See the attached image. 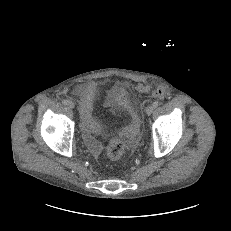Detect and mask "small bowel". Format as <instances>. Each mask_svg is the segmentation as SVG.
<instances>
[{
  "label": "small bowel",
  "instance_id": "small-bowel-1",
  "mask_svg": "<svg viewBox=\"0 0 231 231\" xmlns=\"http://www.w3.org/2000/svg\"><path fill=\"white\" fill-rule=\"evenodd\" d=\"M97 91V85L94 82L87 84L77 85L72 93L82 101V127H83V136L90 147V149L97 153L100 149L99 143L94 138L95 134H105L104 128L98 124L92 115V101ZM115 98L118 101L123 100L122 97L115 94ZM130 137L131 143L134 144L137 138V133H125Z\"/></svg>",
  "mask_w": 231,
  "mask_h": 231
}]
</instances>
